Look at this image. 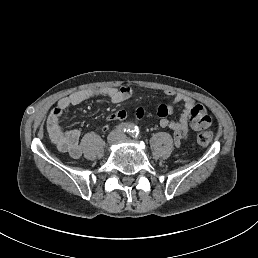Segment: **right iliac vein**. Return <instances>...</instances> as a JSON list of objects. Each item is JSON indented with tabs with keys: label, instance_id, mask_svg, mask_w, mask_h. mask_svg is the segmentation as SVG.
<instances>
[{
	"label": "right iliac vein",
	"instance_id": "obj_1",
	"mask_svg": "<svg viewBox=\"0 0 258 258\" xmlns=\"http://www.w3.org/2000/svg\"><path fill=\"white\" fill-rule=\"evenodd\" d=\"M120 138H121L120 132L117 131V130H114V131H112V132L108 135L107 141H108V143H110V144H114V143H116L117 141H119Z\"/></svg>",
	"mask_w": 258,
	"mask_h": 258
}]
</instances>
